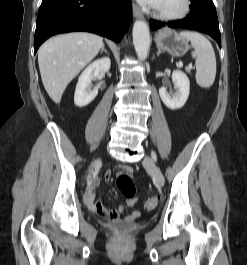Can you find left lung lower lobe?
Here are the masks:
<instances>
[{"mask_svg": "<svg viewBox=\"0 0 247 265\" xmlns=\"http://www.w3.org/2000/svg\"><path fill=\"white\" fill-rule=\"evenodd\" d=\"M191 13L183 20L169 22V27H182L204 32L213 37L221 47V37L216 9L212 0H191ZM166 23L150 20V27L156 30Z\"/></svg>", "mask_w": 247, "mask_h": 265, "instance_id": "1", "label": "left lung lower lobe"}]
</instances>
